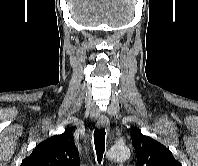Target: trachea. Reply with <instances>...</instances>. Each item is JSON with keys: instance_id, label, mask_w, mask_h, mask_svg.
<instances>
[{"instance_id": "3493384b", "label": "trachea", "mask_w": 198, "mask_h": 166, "mask_svg": "<svg viewBox=\"0 0 198 166\" xmlns=\"http://www.w3.org/2000/svg\"><path fill=\"white\" fill-rule=\"evenodd\" d=\"M105 128L96 129L94 131V144L98 163H101L105 151Z\"/></svg>"}]
</instances>
